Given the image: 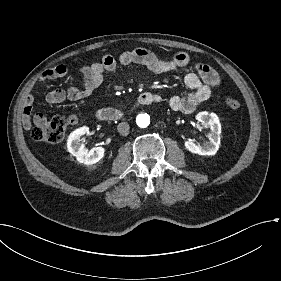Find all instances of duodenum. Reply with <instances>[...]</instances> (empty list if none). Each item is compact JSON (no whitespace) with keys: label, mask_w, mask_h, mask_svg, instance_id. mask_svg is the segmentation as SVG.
Instances as JSON below:
<instances>
[{"label":"duodenum","mask_w":281,"mask_h":281,"mask_svg":"<svg viewBox=\"0 0 281 281\" xmlns=\"http://www.w3.org/2000/svg\"><path fill=\"white\" fill-rule=\"evenodd\" d=\"M151 93H143L136 101V105L147 104L151 101ZM98 121H118L122 118V112L116 109L106 108L98 111L95 115Z\"/></svg>","instance_id":"obj_1"}]
</instances>
